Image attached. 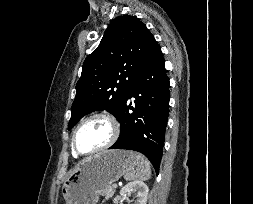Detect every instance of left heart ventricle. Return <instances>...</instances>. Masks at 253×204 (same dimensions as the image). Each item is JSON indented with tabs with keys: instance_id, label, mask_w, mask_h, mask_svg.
Masks as SVG:
<instances>
[{
	"instance_id": "obj_1",
	"label": "left heart ventricle",
	"mask_w": 253,
	"mask_h": 204,
	"mask_svg": "<svg viewBox=\"0 0 253 204\" xmlns=\"http://www.w3.org/2000/svg\"><path fill=\"white\" fill-rule=\"evenodd\" d=\"M112 134L110 124L101 118L86 122L77 132L76 145L81 152H89L108 142Z\"/></svg>"
}]
</instances>
